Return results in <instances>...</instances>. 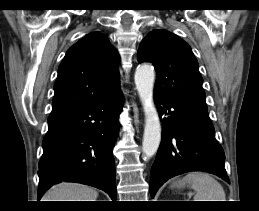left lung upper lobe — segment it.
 <instances>
[{"label":"left lung upper lobe","instance_id":"1","mask_svg":"<svg viewBox=\"0 0 259 211\" xmlns=\"http://www.w3.org/2000/svg\"><path fill=\"white\" fill-rule=\"evenodd\" d=\"M138 61L153 63L155 92L206 105L202 76L190 46L167 30H154L142 41Z\"/></svg>","mask_w":259,"mask_h":211}]
</instances>
